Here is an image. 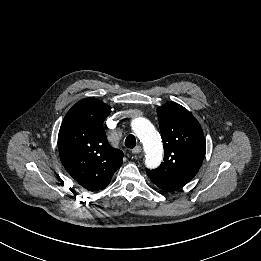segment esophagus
<instances>
[{
	"instance_id": "esophagus-1",
	"label": "esophagus",
	"mask_w": 261,
	"mask_h": 261,
	"mask_svg": "<svg viewBox=\"0 0 261 261\" xmlns=\"http://www.w3.org/2000/svg\"><path fill=\"white\" fill-rule=\"evenodd\" d=\"M142 150L141 146H136L134 149H132L133 154H138Z\"/></svg>"
}]
</instances>
